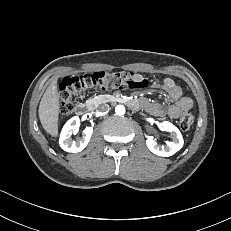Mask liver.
I'll return each mask as SVG.
<instances>
[{"label": "liver", "instance_id": "1", "mask_svg": "<svg viewBox=\"0 0 231 231\" xmlns=\"http://www.w3.org/2000/svg\"><path fill=\"white\" fill-rule=\"evenodd\" d=\"M59 99L57 79H54L43 94L38 110L42 127L53 137L58 136Z\"/></svg>", "mask_w": 231, "mask_h": 231}]
</instances>
